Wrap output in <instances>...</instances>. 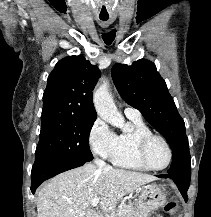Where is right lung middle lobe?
<instances>
[{
	"label": "right lung middle lobe",
	"instance_id": "obj_1",
	"mask_svg": "<svg viewBox=\"0 0 211 217\" xmlns=\"http://www.w3.org/2000/svg\"><path fill=\"white\" fill-rule=\"evenodd\" d=\"M94 121L95 119L74 116H53L42 119L35 162L47 159L92 161L89 134Z\"/></svg>",
	"mask_w": 211,
	"mask_h": 217
}]
</instances>
